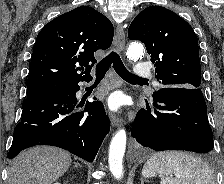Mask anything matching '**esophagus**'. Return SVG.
<instances>
[{"mask_svg": "<svg viewBox=\"0 0 224 184\" xmlns=\"http://www.w3.org/2000/svg\"><path fill=\"white\" fill-rule=\"evenodd\" d=\"M114 45L119 52L123 51L125 45V32L122 25H118L116 28ZM109 118L113 127H119L122 123L121 118L115 114L110 113Z\"/></svg>", "mask_w": 224, "mask_h": 184, "instance_id": "1", "label": "esophagus"}]
</instances>
